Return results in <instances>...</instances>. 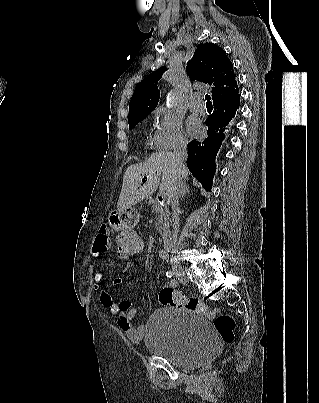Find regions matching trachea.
Instances as JSON below:
<instances>
[{"label": "trachea", "instance_id": "trachea-1", "mask_svg": "<svg viewBox=\"0 0 319 403\" xmlns=\"http://www.w3.org/2000/svg\"><path fill=\"white\" fill-rule=\"evenodd\" d=\"M205 100L207 101V102H206V105H212V102L210 101V100H211L210 95L207 94V95L205 96Z\"/></svg>", "mask_w": 319, "mask_h": 403}]
</instances>
